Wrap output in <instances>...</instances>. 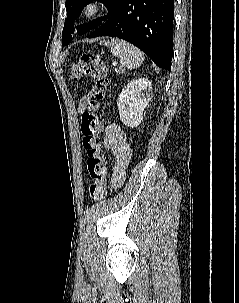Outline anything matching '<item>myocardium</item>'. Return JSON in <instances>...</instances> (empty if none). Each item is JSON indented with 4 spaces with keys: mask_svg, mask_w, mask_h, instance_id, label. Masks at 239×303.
<instances>
[{
    "mask_svg": "<svg viewBox=\"0 0 239 303\" xmlns=\"http://www.w3.org/2000/svg\"><path fill=\"white\" fill-rule=\"evenodd\" d=\"M106 8L104 0H88L81 7L80 16L83 19L91 20L102 15Z\"/></svg>",
    "mask_w": 239,
    "mask_h": 303,
    "instance_id": "f54148a6",
    "label": "myocardium"
}]
</instances>
